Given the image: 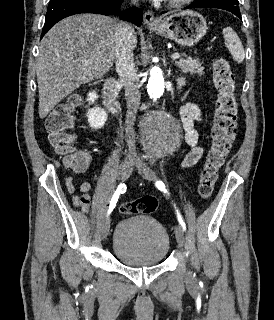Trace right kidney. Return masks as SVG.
<instances>
[{
	"instance_id": "obj_1",
	"label": "right kidney",
	"mask_w": 274,
	"mask_h": 320,
	"mask_svg": "<svg viewBox=\"0 0 274 320\" xmlns=\"http://www.w3.org/2000/svg\"><path fill=\"white\" fill-rule=\"evenodd\" d=\"M97 98L98 94L95 92V90H93V92H88L87 102H89V104H94ZM86 118L92 130H100V128L105 126L108 120V114L106 110H103V108H90V110L87 112Z\"/></svg>"
}]
</instances>
